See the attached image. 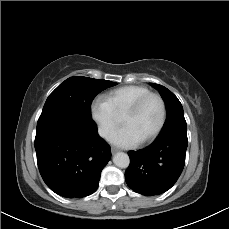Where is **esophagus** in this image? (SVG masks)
Instances as JSON below:
<instances>
[{
  "label": "esophagus",
  "instance_id": "obj_1",
  "mask_svg": "<svg viewBox=\"0 0 229 229\" xmlns=\"http://www.w3.org/2000/svg\"><path fill=\"white\" fill-rule=\"evenodd\" d=\"M117 151H119L118 148H116V147H112V148H111V153H112V154H115Z\"/></svg>",
  "mask_w": 229,
  "mask_h": 229
}]
</instances>
